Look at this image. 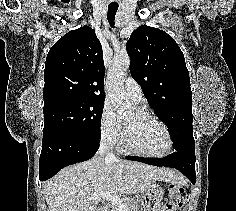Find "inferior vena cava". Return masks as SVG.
Returning a JSON list of instances; mask_svg holds the SVG:
<instances>
[{"mask_svg": "<svg viewBox=\"0 0 236 211\" xmlns=\"http://www.w3.org/2000/svg\"><path fill=\"white\" fill-rule=\"evenodd\" d=\"M98 155L99 157L102 158H106L108 160H116L115 155L113 154V152L110 150V141L108 139H102L100 146H99V150H98Z\"/></svg>", "mask_w": 236, "mask_h": 211, "instance_id": "1", "label": "inferior vena cava"}]
</instances>
